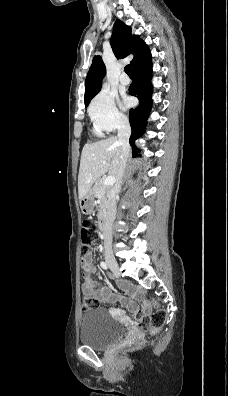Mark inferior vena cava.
<instances>
[{"label":"inferior vena cava","mask_w":228,"mask_h":396,"mask_svg":"<svg viewBox=\"0 0 228 396\" xmlns=\"http://www.w3.org/2000/svg\"><path fill=\"white\" fill-rule=\"evenodd\" d=\"M118 139L122 146L121 163L119 167L116 184L112 189L111 196L108 201L107 226L104 231V248L106 254H112V223L116 215V198L121 190V181L125 173L127 158L130 154L129 138L131 135V127L127 119L118 121Z\"/></svg>","instance_id":"1"}]
</instances>
